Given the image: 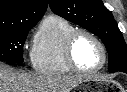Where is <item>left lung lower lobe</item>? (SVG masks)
<instances>
[{"mask_svg": "<svg viewBox=\"0 0 127 92\" xmlns=\"http://www.w3.org/2000/svg\"><path fill=\"white\" fill-rule=\"evenodd\" d=\"M121 72H125V73H127V70H124V71H121Z\"/></svg>", "mask_w": 127, "mask_h": 92, "instance_id": "0a47b994", "label": "left lung lower lobe"}]
</instances>
